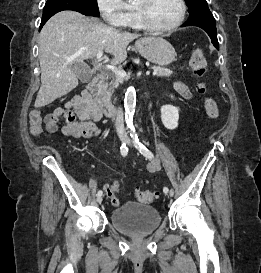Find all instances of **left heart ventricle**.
I'll return each instance as SVG.
<instances>
[{
	"label": "left heart ventricle",
	"mask_w": 261,
	"mask_h": 273,
	"mask_svg": "<svg viewBox=\"0 0 261 273\" xmlns=\"http://www.w3.org/2000/svg\"><path fill=\"white\" fill-rule=\"evenodd\" d=\"M143 0H138L136 5H142ZM148 12L152 23L157 27H168L174 24L181 13L178 0H153L149 4Z\"/></svg>",
	"instance_id": "1"
}]
</instances>
